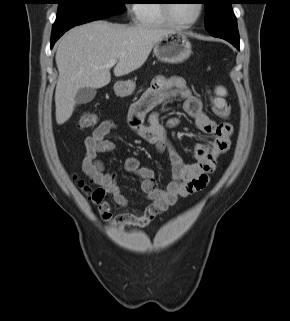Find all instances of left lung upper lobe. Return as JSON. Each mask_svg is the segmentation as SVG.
<instances>
[{"mask_svg": "<svg viewBox=\"0 0 290 321\" xmlns=\"http://www.w3.org/2000/svg\"><path fill=\"white\" fill-rule=\"evenodd\" d=\"M206 8V30L210 33L237 25L231 4L234 0H203Z\"/></svg>", "mask_w": 290, "mask_h": 321, "instance_id": "5c2ea615", "label": "left lung upper lobe"}]
</instances>
